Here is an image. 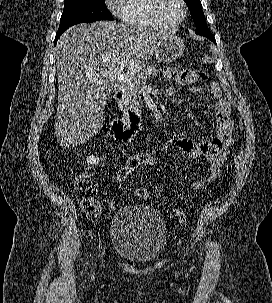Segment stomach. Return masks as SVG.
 <instances>
[{"mask_svg": "<svg viewBox=\"0 0 272 303\" xmlns=\"http://www.w3.org/2000/svg\"><path fill=\"white\" fill-rule=\"evenodd\" d=\"M185 50L182 39L169 35L166 37L155 50V56L158 61L171 62L179 58Z\"/></svg>", "mask_w": 272, "mask_h": 303, "instance_id": "stomach-1", "label": "stomach"}]
</instances>
